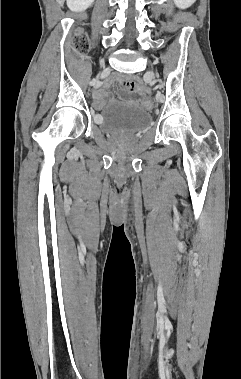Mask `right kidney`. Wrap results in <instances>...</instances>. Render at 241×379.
Instances as JSON below:
<instances>
[{
    "label": "right kidney",
    "mask_w": 241,
    "mask_h": 379,
    "mask_svg": "<svg viewBox=\"0 0 241 379\" xmlns=\"http://www.w3.org/2000/svg\"><path fill=\"white\" fill-rule=\"evenodd\" d=\"M94 0H67V6L71 11H84L92 5Z\"/></svg>",
    "instance_id": "obj_1"
}]
</instances>
